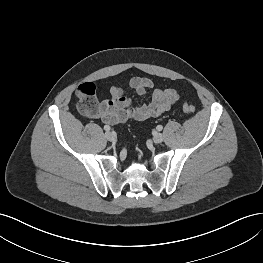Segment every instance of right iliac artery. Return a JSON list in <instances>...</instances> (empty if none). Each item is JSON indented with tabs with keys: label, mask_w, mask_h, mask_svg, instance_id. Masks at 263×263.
<instances>
[{
	"label": "right iliac artery",
	"mask_w": 263,
	"mask_h": 263,
	"mask_svg": "<svg viewBox=\"0 0 263 263\" xmlns=\"http://www.w3.org/2000/svg\"><path fill=\"white\" fill-rule=\"evenodd\" d=\"M110 129H111V127H110L109 125H105V126H104V130H105V131H109Z\"/></svg>",
	"instance_id": "right-iliac-artery-1"
}]
</instances>
